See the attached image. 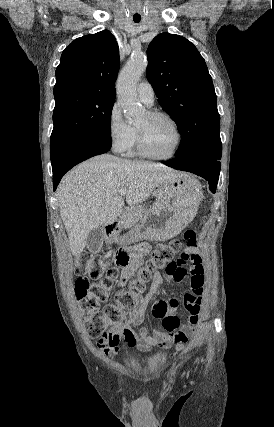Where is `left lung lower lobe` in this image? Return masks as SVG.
I'll list each match as a JSON object with an SVG mask.
<instances>
[{
	"mask_svg": "<svg viewBox=\"0 0 274 427\" xmlns=\"http://www.w3.org/2000/svg\"><path fill=\"white\" fill-rule=\"evenodd\" d=\"M221 155L222 145L218 144L192 155L175 157L164 162V164L205 178L209 182L210 191L215 193L221 168V163L219 162Z\"/></svg>",
	"mask_w": 274,
	"mask_h": 427,
	"instance_id": "obj_1",
	"label": "left lung lower lobe"
}]
</instances>
